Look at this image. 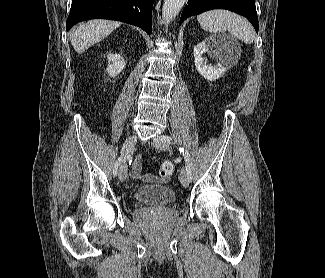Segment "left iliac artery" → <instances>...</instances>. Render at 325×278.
<instances>
[{
  "label": "left iliac artery",
  "instance_id": "obj_1",
  "mask_svg": "<svg viewBox=\"0 0 325 278\" xmlns=\"http://www.w3.org/2000/svg\"><path fill=\"white\" fill-rule=\"evenodd\" d=\"M161 140H162V142H165V143H172L173 142L172 138L170 136H168V135L161 136ZM173 144H175V142ZM179 150L184 155V158H185V161H186V164H187L186 165V171L188 173L189 180L191 181L192 180V173H191V167H190V164H189V154L182 147H179Z\"/></svg>",
  "mask_w": 325,
  "mask_h": 278
}]
</instances>
